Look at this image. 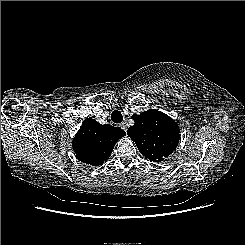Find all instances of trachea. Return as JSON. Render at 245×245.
<instances>
[{
	"instance_id": "trachea-1",
	"label": "trachea",
	"mask_w": 245,
	"mask_h": 245,
	"mask_svg": "<svg viewBox=\"0 0 245 245\" xmlns=\"http://www.w3.org/2000/svg\"><path fill=\"white\" fill-rule=\"evenodd\" d=\"M111 120L114 122V123H121L122 120H123V115L121 114L120 111L118 110H114L111 114Z\"/></svg>"
}]
</instances>
